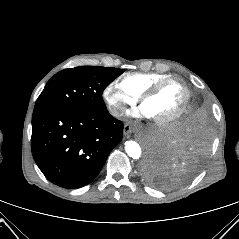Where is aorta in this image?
Returning a JSON list of instances; mask_svg holds the SVG:
<instances>
[{
  "label": "aorta",
  "instance_id": "aorta-1",
  "mask_svg": "<svg viewBox=\"0 0 239 239\" xmlns=\"http://www.w3.org/2000/svg\"><path fill=\"white\" fill-rule=\"evenodd\" d=\"M125 151L127 155L133 159L140 158L142 154L140 145L132 140L125 142Z\"/></svg>",
  "mask_w": 239,
  "mask_h": 239
}]
</instances>
